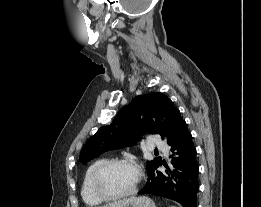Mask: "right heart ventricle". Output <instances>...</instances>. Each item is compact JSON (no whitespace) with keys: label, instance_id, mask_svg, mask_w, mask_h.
<instances>
[{"label":"right heart ventricle","instance_id":"right-heart-ventricle-1","mask_svg":"<svg viewBox=\"0 0 261 207\" xmlns=\"http://www.w3.org/2000/svg\"><path fill=\"white\" fill-rule=\"evenodd\" d=\"M106 160H107L106 158H100V159L93 161L88 166V168L86 169V171L84 173L82 186H81V196H82L84 202L91 207L98 206L103 202V200L100 199L93 191L92 176H93V173L96 170V168L100 164L105 162Z\"/></svg>","mask_w":261,"mask_h":207}]
</instances>
